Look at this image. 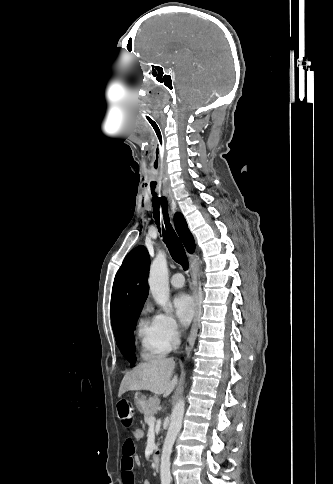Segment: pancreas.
<instances>
[{
    "label": "pancreas",
    "mask_w": 333,
    "mask_h": 484,
    "mask_svg": "<svg viewBox=\"0 0 333 484\" xmlns=\"http://www.w3.org/2000/svg\"><path fill=\"white\" fill-rule=\"evenodd\" d=\"M160 404V399L157 397H150L148 399L147 406L144 410V421L148 423L149 418L153 417L157 412V408Z\"/></svg>",
    "instance_id": "cf45deb5"
}]
</instances>
